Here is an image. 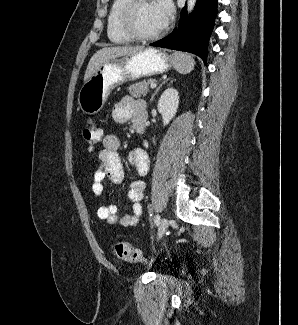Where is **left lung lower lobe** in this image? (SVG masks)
Listing matches in <instances>:
<instances>
[{"label":"left lung lower lobe","mask_w":298,"mask_h":325,"mask_svg":"<svg viewBox=\"0 0 298 325\" xmlns=\"http://www.w3.org/2000/svg\"><path fill=\"white\" fill-rule=\"evenodd\" d=\"M218 0H197L191 23L185 17L186 7L181 11V20L167 37L151 46L187 51L198 55L207 64V45L217 15Z\"/></svg>","instance_id":"left-lung-lower-lobe-1"}]
</instances>
